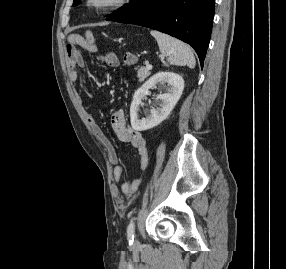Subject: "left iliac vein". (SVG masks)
<instances>
[{
  "instance_id": "obj_1",
  "label": "left iliac vein",
  "mask_w": 286,
  "mask_h": 269,
  "mask_svg": "<svg viewBox=\"0 0 286 269\" xmlns=\"http://www.w3.org/2000/svg\"><path fill=\"white\" fill-rule=\"evenodd\" d=\"M135 243H136V244H138V241H137V240H135Z\"/></svg>"
}]
</instances>
